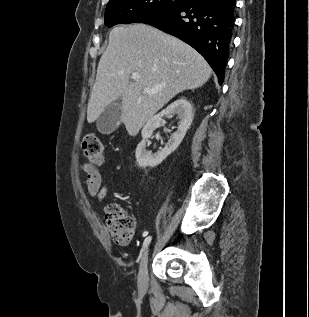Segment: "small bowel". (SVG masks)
Wrapping results in <instances>:
<instances>
[{
    "label": "small bowel",
    "instance_id": "1",
    "mask_svg": "<svg viewBox=\"0 0 309 317\" xmlns=\"http://www.w3.org/2000/svg\"><path fill=\"white\" fill-rule=\"evenodd\" d=\"M86 174V190L90 197H95L99 202L107 196L108 185L103 183L100 171L89 164L83 165Z\"/></svg>",
    "mask_w": 309,
    "mask_h": 317
}]
</instances>
